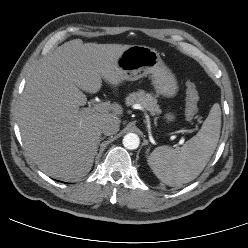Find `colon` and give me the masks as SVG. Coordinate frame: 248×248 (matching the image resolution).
I'll use <instances>...</instances> for the list:
<instances>
[{
  "mask_svg": "<svg viewBox=\"0 0 248 248\" xmlns=\"http://www.w3.org/2000/svg\"><path fill=\"white\" fill-rule=\"evenodd\" d=\"M199 95L195 85L191 82L186 84V109L185 117L192 120L198 111Z\"/></svg>",
  "mask_w": 248,
  "mask_h": 248,
  "instance_id": "5ec220e1",
  "label": "colon"
}]
</instances>
